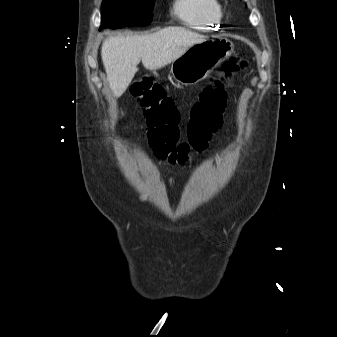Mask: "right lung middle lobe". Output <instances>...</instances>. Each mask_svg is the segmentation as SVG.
<instances>
[{"label":"right lung middle lobe","mask_w":337,"mask_h":337,"mask_svg":"<svg viewBox=\"0 0 337 337\" xmlns=\"http://www.w3.org/2000/svg\"><path fill=\"white\" fill-rule=\"evenodd\" d=\"M155 0H104L102 2L101 27L120 28L145 26L152 21Z\"/></svg>","instance_id":"obj_1"}]
</instances>
